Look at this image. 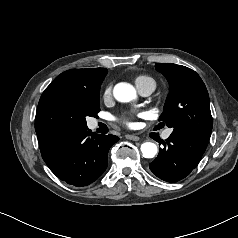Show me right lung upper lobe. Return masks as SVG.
<instances>
[{"label": "right lung upper lobe", "instance_id": "cb5924a9", "mask_svg": "<svg viewBox=\"0 0 238 238\" xmlns=\"http://www.w3.org/2000/svg\"><path fill=\"white\" fill-rule=\"evenodd\" d=\"M98 69L65 71L45 89L35 117V130L39 143L48 141L69 129L67 125L71 115L69 99L76 91L94 89L99 85Z\"/></svg>", "mask_w": 238, "mask_h": 238}]
</instances>
